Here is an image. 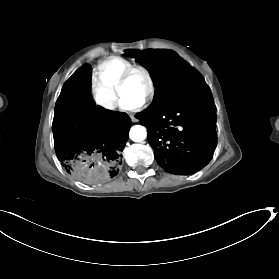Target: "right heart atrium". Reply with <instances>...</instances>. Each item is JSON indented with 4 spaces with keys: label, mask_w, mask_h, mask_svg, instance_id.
I'll return each instance as SVG.
<instances>
[{
    "label": "right heart atrium",
    "mask_w": 279,
    "mask_h": 279,
    "mask_svg": "<svg viewBox=\"0 0 279 279\" xmlns=\"http://www.w3.org/2000/svg\"><path fill=\"white\" fill-rule=\"evenodd\" d=\"M93 100L96 106L105 114H113L118 106L119 98L116 93L101 84H93Z\"/></svg>",
    "instance_id": "obj_1"
}]
</instances>
